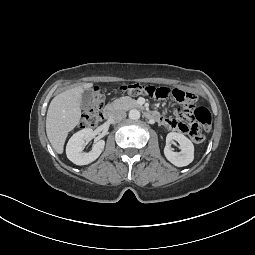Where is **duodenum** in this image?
I'll use <instances>...</instances> for the list:
<instances>
[{
  "label": "duodenum",
  "instance_id": "410a0bca",
  "mask_svg": "<svg viewBox=\"0 0 255 255\" xmlns=\"http://www.w3.org/2000/svg\"><path fill=\"white\" fill-rule=\"evenodd\" d=\"M116 113H117V109L114 106L110 105L104 109L103 116L106 120H111L115 117ZM145 115L150 120H158L159 119V115L155 111L148 110L145 112Z\"/></svg>",
  "mask_w": 255,
  "mask_h": 255
}]
</instances>
